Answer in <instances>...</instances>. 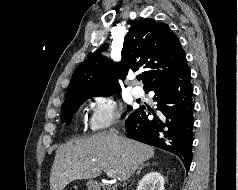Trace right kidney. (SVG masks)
I'll return each mask as SVG.
<instances>
[{"label": "right kidney", "instance_id": "ca27d5eb", "mask_svg": "<svg viewBox=\"0 0 238 190\" xmlns=\"http://www.w3.org/2000/svg\"><path fill=\"white\" fill-rule=\"evenodd\" d=\"M137 190H164V178L158 172L147 173L140 180Z\"/></svg>", "mask_w": 238, "mask_h": 190}]
</instances>
